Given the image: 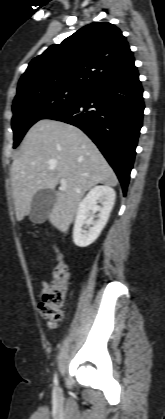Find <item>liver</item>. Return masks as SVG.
Listing matches in <instances>:
<instances>
[{"label": "liver", "instance_id": "liver-1", "mask_svg": "<svg viewBox=\"0 0 165 419\" xmlns=\"http://www.w3.org/2000/svg\"><path fill=\"white\" fill-rule=\"evenodd\" d=\"M61 179L67 183L55 192L49 221L64 233L86 191L99 183H118L113 169L84 132L64 122L42 119L27 132L11 167L17 220L30 213L32 198L39 190H53Z\"/></svg>", "mask_w": 165, "mask_h": 419}]
</instances>
